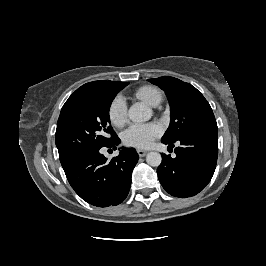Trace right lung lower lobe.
<instances>
[{
    "mask_svg": "<svg viewBox=\"0 0 266 266\" xmlns=\"http://www.w3.org/2000/svg\"><path fill=\"white\" fill-rule=\"evenodd\" d=\"M117 137L107 148L116 149ZM134 149L122 147L110 161L99 150L87 153L63 168L74 191L86 202L98 207L120 204L128 195L131 175L138 162Z\"/></svg>",
    "mask_w": 266,
    "mask_h": 266,
    "instance_id": "right-lung-lower-lobe-1",
    "label": "right lung lower lobe"
}]
</instances>
